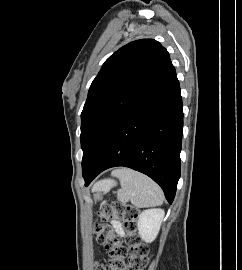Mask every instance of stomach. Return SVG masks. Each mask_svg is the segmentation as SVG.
<instances>
[{
	"mask_svg": "<svg viewBox=\"0 0 242 270\" xmlns=\"http://www.w3.org/2000/svg\"><path fill=\"white\" fill-rule=\"evenodd\" d=\"M110 185H112L111 183H107V184H101V185H97L95 190L97 192V195H99L101 192L107 190Z\"/></svg>",
	"mask_w": 242,
	"mask_h": 270,
	"instance_id": "stomach-1",
	"label": "stomach"
}]
</instances>
